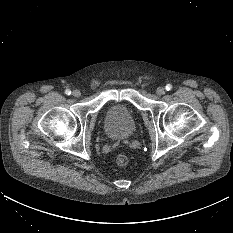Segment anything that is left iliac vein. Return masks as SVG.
<instances>
[{"instance_id": "obj_1", "label": "left iliac vein", "mask_w": 233, "mask_h": 233, "mask_svg": "<svg viewBox=\"0 0 233 233\" xmlns=\"http://www.w3.org/2000/svg\"><path fill=\"white\" fill-rule=\"evenodd\" d=\"M156 93L158 95H163L165 93V88L164 87H158L156 90Z\"/></svg>"}]
</instances>
